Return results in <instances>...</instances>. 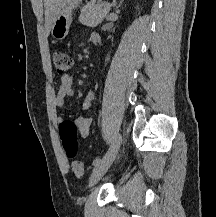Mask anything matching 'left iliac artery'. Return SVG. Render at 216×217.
I'll return each mask as SVG.
<instances>
[{"mask_svg": "<svg viewBox=\"0 0 216 217\" xmlns=\"http://www.w3.org/2000/svg\"><path fill=\"white\" fill-rule=\"evenodd\" d=\"M104 159V158H103ZM103 159H101V158H96L94 161H93V165L96 167V166H98L101 162H102V160Z\"/></svg>", "mask_w": 216, "mask_h": 217, "instance_id": "44dca946", "label": "left iliac artery"}]
</instances>
